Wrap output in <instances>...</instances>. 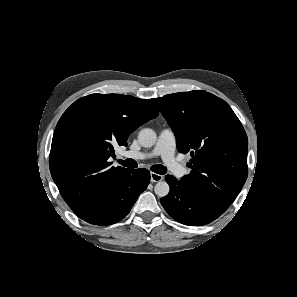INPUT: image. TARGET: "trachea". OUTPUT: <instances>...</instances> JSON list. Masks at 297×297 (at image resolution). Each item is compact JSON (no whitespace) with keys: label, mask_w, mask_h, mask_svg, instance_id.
I'll return each mask as SVG.
<instances>
[{"label":"trachea","mask_w":297,"mask_h":297,"mask_svg":"<svg viewBox=\"0 0 297 297\" xmlns=\"http://www.w3.org/2000/svg\"><path fill=\"white\" fill-rule=\"evenodd\" d=\"M121 165L128 167V168H136L138 166L137 162L133 159H126V160H119L118 161ZM151 170L157 174H165L167 172L166 167L161 164L152 165Z\"/></svg>","instance_id":"3493384b"}]
</instances>
